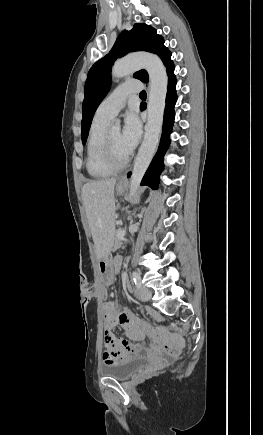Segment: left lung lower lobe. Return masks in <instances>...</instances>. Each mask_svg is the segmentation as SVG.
<instances>
[{"mask_svg":"<svg viewBox=\"0 0 263 435\" xmlns=\"http://www.w3.org/2000/svg\"><path fill=\"white\" fill-rule=\"evenodd\" d=\"M167 74L169 76V84H168V92L166 96V107L164 112V123L160 145L158 148V152L155 155L153 161L151 162L147 172L145 173L141 185H148L152 189H157L159 185V175L163 170V157L164 154L170 144L169 135L172 130V125L174 122V106L177 100L176 96V79L174 75V65L173 62H169L166 65ZM131 172L128 173V177H130Z\"/></svg>","mask_w":263,"mask_h":435,"instance_id":"left-lung-lower-lobe-1","label":"left lung lower lobe"}]
</instances>
